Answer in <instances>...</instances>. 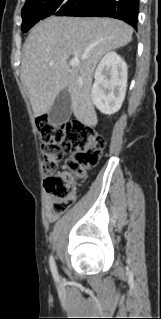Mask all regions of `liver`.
Masks as SVG:
<instances>
[{"mask_svg": "<svg viewBox=\"0 0 161 319\" xmlns=\"http://www.w3.org/2000/svg\"><path fill=\"white\" fill-rule=\"evenodd\" d=\"M133 29L111 18L50 17L34 26L24 45L21 78L34 116L47 113L56 97L67 89L78 121L98 123L91 99L93 73L101 57L127 45ZM70 56L78 58L70 68Z\"/></svg>", "mask_w": 161, "mask_h": 319, "instance_id": "1", "label": "liver"}]
</instances>
